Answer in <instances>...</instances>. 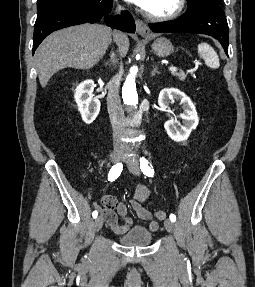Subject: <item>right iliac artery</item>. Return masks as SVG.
Returning a JSON list of instances; mask_svg holds the SVG:
<instances>
[{"instance_id": "1", "label": "right iliac artery", "mask_w": 255, "mask_h": 287, "mask_svg": "<svg viewBox=\"0 0 255 287\" xmlns=\"http://www.w3.org/2000/svg\"><path fill=\"white\" fill-rule=\"evenodd\" d=\"M122 169H123L122 163H117L114 166H112V168L110 169L109 174H108V180L111 182L115 181L119 177V175L121 174ZM97 215H98V212L95 210L92 213V216H93V218H96Z\"/></svg>"}]
</instances>
